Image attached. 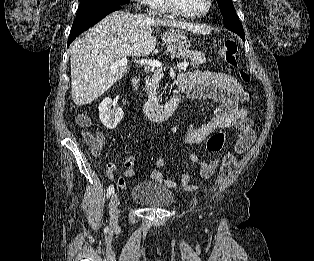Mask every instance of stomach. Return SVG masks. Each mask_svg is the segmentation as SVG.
I'll return each instance as SVG.
<instances>
[{
    "instance_id": "0dacf381",
    "label": "stomach",
    "mask_w": 314,
    "mask_h": 261,
    "mask_svg": "<svg viewBox=\"0 0 314 261\" xmlns=\"http://www.w3.org/2000/svg\"><path fill=\"white\" fill-rule=\"evenodd\" d=\"M163 39L166 44L176 45L184 50H188L190 48L189 39L177 28H171L167 33H165Z\"/></svg>"
}]
</instances>
